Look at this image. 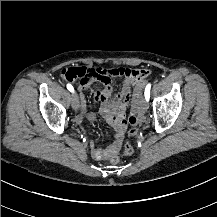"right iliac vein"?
I'll return each instance as SVG.
<instances>
[{
    "label": "right iliac vein",
    "instance_id": "63e3f726",
    "mask_svg": "<svg viewBox=\"0 0 217 217\" xmlns=\"http://www.w3.org/2000/svg\"><path fill=\"white\" fill-rule=\"evenodd\" d=\"M71 105L74 110L78 109V99L76 96H73L71 99Z\"/></svg>",
    "mask_w": 217,
    "mask_h": 217
}]
</instances>
